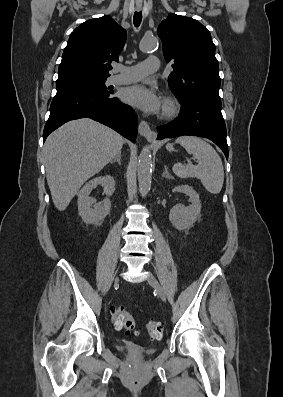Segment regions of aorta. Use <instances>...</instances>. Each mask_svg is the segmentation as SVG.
Returning <instances> with one entry per match:
<instances>
[{
	"label": "aorta",
	"mask_w": 283,
	"mask_h": 397,
	"mask_svg": "<svg viewBox=\"0 0 283 397\" xmlns=\"http://www.w3.org/2000/svg\"><path fill=\"white\" fill-rule=\"evenodd\" d=\"M158 40L155 37H145L141 41L142 51H150L156 48ZM152 180V156L148 146H144L138 158V183L140 194L146 197L151 187Z\"/></svg>",
	"instance_id": "1"
}]
</instances>
